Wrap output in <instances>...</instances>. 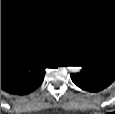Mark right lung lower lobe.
<instances>
[{"label":"right lung lower lobe","mask_w":115,"mask_h":114,"mask_svg":"<svg viewBox=\"0 0 115 114\" xmlns=\"http://www.w3.org/2000/svg\"><path fill=\"white\" fill-rule=\"evenodd\" d=\"M45 59H1V89L15 95H24L38 88L44 80Z\"/></svg>","instance_id":"1"}]
</instances>
